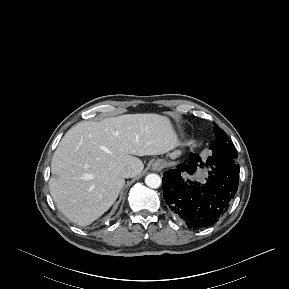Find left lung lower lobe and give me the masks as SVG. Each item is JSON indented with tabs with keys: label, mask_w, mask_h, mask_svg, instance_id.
Wrapping results in <instances>:
<instances>
[{
	"label": "left lung lower lobe",
	"mask_w": 289,
	"mask_h": 289,
	"mask_svg": "<svg viewBox=\"0 0 289 289\" xmlns=\"http://www.w3.org/2000/svg\"><path fill=\"white\" fill-rule=\"evenodd\" d=\"M188 162L164 173V199L171 211L189 228L208 227L215 224L230 207L238 188L240 168L235 159L219 161L209 157L203 163L197 154H191ZM197 166L212 169L204 185L184 181L181 177V172L192 174Z\"/></svg>",
	"instance_id": "1"
}]
</instances>
